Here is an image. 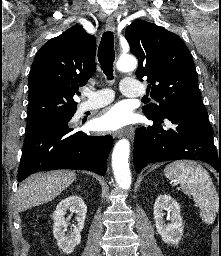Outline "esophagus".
Masks as SVG:
<instances>
[{
    "label": "esophagus",
    "instance_id": "1",
    "mask_svg": "<svg viewBox=\"0 0 221 256\" xmlns=\"http://www.w3.org/2000/svg\"><path fill=\"white\" fill-rule=\"evenodd\" d=\"M105 28H106L107 31H114L115 30V22H114V19L112 17L107 18ZM123 135H127L128 137L133 138L134 128L129 127V128H126L122 131H118V132L115 133V136H117V137H121Z\"/></svg>",
    "mask_w": 221,
    "mask_h": 256
}]
</instances>
